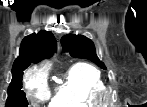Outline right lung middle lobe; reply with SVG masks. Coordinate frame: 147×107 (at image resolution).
<instances>
[{
	"mask_svg": "<svg viewBox=\"0 0 147 107\" xmlns=\"http://www.w3.org/2000/svg\"><path fill=\"white\" fill-rule=\"evenodd\" d=\"M26 65L22 67L18 73L13 76L12 81L8 87V98L5 107H27L28 101L26 99L24 91H22V75L23 71L28 67Z\"/></svg>",
	"mask_w": 147,
	"mask_h": 107,
	"instance_id": "1",
	"label": "right lung middle lobe"
}]
</instances>
